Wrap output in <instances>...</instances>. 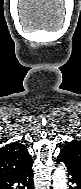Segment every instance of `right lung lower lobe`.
<instances>
[{"instance_id":"1","label":"right lung lower lobe","mask_w":81,"mask_h":189,"mask_svg":"<svg viewBox=\"0 0 81 189\" xmlns=\"http://www.w3.org/2000/svg\"><path fill=\"white\" fill-rule=\"evenodd\" d=\"M32 161L16 172L0 178V189H33Z\"/></svg>"}]
</instances>
